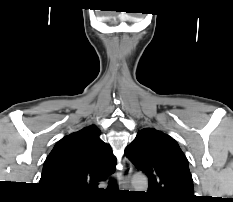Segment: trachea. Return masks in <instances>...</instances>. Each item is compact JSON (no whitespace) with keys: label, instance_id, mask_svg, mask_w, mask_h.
<instances>
[{"label":"trachea","instance_id":"3493384b","mask_svg":"<svg viewBox=\"0 0 233 202\" xmlns=\"http://www.w3.org/2000/svg\"><path fill=\"white\" fill-rule=\"evenodd\" d=\"M109 183H110L111 186H115V183H114L113 180H110Z\"/></svg>","mask_w":233,"mask_h":202}]
</instances>
